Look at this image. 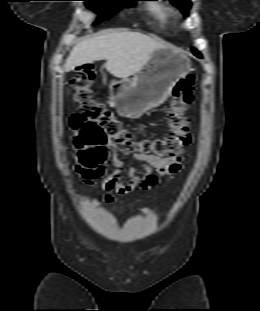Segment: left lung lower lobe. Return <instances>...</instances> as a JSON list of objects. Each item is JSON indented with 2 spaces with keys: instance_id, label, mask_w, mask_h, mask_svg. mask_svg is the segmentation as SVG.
<instances>
[{
  "instance_id": "1",
  "label": "left lung lower lobe",
  "mask_w": 260,
  "mask_h": 311,
  "mask_svg": "<svg viewBox=\"0 0 260 311\" xmlns=\"http://www.w3.org/2000/svg\"><path fill=\"white\" fill-rule=\"evenodd\" d=\"M195 54V53H194ZM197 57H201V55H199V54H195Z\"/></svg>"
}]
</instances>
